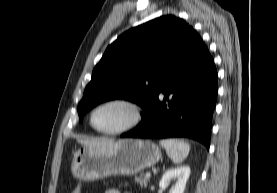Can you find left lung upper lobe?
Wrapping results in <instances>:
<instances>
[{
	"instance_id": "5c2ea615",
	"label": "left lung upper lobe",
	"mask_w": 277,
	"mask_h": 193,
	"mask_svg": "<svg viewBox=\"0 0 277 193\" xmlns=\"http://www.w3.org/2000/svg\"><path fill=\"white\" fill-rule=\"evenodd\" d=\"M198 37L183 19L170 15L124 32L94 68L78 104L79 121L97 104L116 98L139 104L147 112Z\"/></svg>"
}]
</instances>
